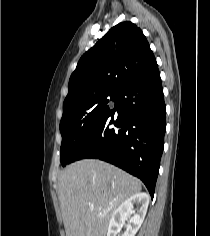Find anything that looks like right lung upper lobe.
Returning <instances> with one entry per match:
<instances>
[{
  "label": "right lung upper lobe",
  "mask_w": 210,
  "mask_h": 236,
  "mask_svg": "<svg viewBox=\"0 0 210 236\" xmlns=\"http://www.w3.org/2000/svg\"><path fill=\"white\" fill-rule=\"evenodd\" d=\"M156 66L141 29L129 21L117 24L80 58L69 80L63 113L88 98L117 93Z\"/></svg>",
  "instance_id": "cb5924a9"
}]
</instances>
